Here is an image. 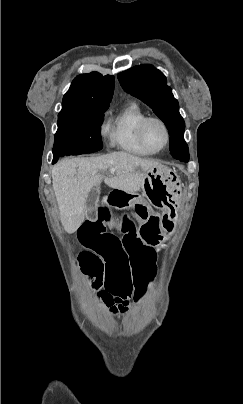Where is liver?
<instances>
[{
    "instance_id": "1",
    "label": "liver",
    "mask_w": 243,
    "mask_h": 404,
    "mask_svg": "<svg viewBox=\"0 0 243 404\" xmlns=\"http://www.w3.org/2000/svg\"><path fill=\"white\" fill-rule=\"evenodd\" d=\"M153 166H158L154 160L138 158L128 152H113L97 158H72L55 164L52 184L65 232L74 234L83 224L86 198L102 180L114 190L136 194L144 172ZM107 170H115V174L105 178Z\"/></svg>"
}]
</instances>
